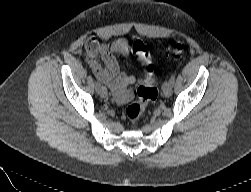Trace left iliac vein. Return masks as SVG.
Segmentation results:
<instances>
[{"label": "left iliac vein", "mask_w": 251, "mask_h": 192, "mask_svg": "<svg viewBox=\"0 0 251 192\" xmlns=\"http://www.w3.org/2000/svg\"><path fill=\"white\" fill-rule=\"evenodd\" d=\"M162 91L165 97H169L172 94V83L170 81H166L163 84Z\"/></svg>", "instance_id": "obj_1"}]
</instances>
